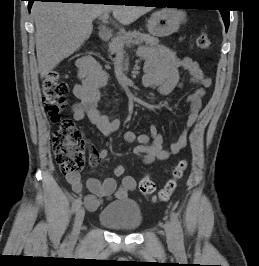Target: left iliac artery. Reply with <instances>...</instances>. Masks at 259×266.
I'll list each match as a JSON object with an SVG mask.
<instances>
[{
	"mask_svg": "<svg viewBox=\"0 0 259 266\" xmlns=\"http://www.w3.org/2000/svg\"><path fill=\"white\" fill-rule=\"evenodd\" d=\"M171 221L175 228L178 243L182 244L183 243V230H182L180 221L178 220V217L175 213H171Z\"/></svg>",
	"mask_w": 259,
	"mask_h": 266,
	"instance_id": "44dca946",
	"label": "left iliac artery"
}]
</instances>
